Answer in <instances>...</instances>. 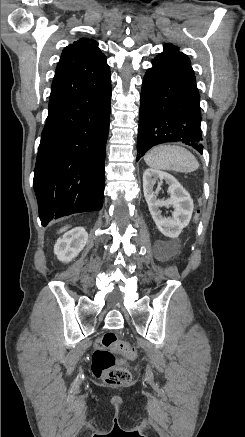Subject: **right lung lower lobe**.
<instances>
[{
  "instance_id": "right-lung-lower-lobe-1",
  "label": "right lung lower lobe",
  "mask_w": 245,
  "mask_h": 437,
  "mask_svg": "<svg viewBox=\"0 0 245 437\" xmlns=\"http://www.w3.org/2000/svg\"><path fill=\"white\" fill-rule=\"evenodd\" d=\"M111 77L101 86L49 103L34 170L43 226L102 208Z\"/></svg>"
}]
</instances>
